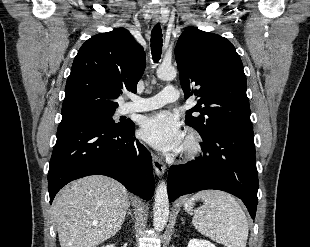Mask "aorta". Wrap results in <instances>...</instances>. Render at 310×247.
<instances>
[{
    "mask_svg": "<svg viewBox=\"0 0 310 247\" xmlns=\"http://www.w3.org/2000/svg\"><path fill=\"white\" fill-rule=\"evenodd\" d=\"M176 75L177 71L173 66H160L157 69V77L161 80L170 81L173 80ZM153 213L155 230L162 231L169 217V199L165 181H160L156 188Z\"/></svg>",
    "mask_w": 310,
    "mask_h": 247,
    "instance_id": "obj_1",
    "label": "aorta"
}]
</instances>
